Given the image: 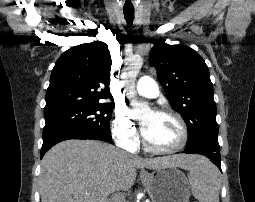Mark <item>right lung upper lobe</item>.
<instances>
[{
  "instance_id": "1",
  "label": "right lung upper lobe",
  "mask_w": 255,
  "mask_h": 202,
  "mask_svg": "<svg viewBox=\"0 0 255 202\" xmlns=\"http://www.w3.org/2000/svg\"><path fill=\"white\" fill-rule=\"evenodd\" d=\"M111 63L108 47L102 42L65 51L52 70L44 114L110 97Z\"/></svg>"
}]
</instances>
